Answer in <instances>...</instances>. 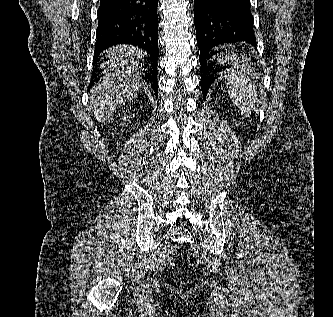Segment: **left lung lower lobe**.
Returning a JSON list of instances; mask_svg holds the SVG:
<instances>
[{
  "label": "left lung lower lobe",
  "instance_id": "obj_1",
  "mask_svg": "<svg viewBox=\"0 0 333 317\" xmlns=\"http://www.w3.org/2000/svg\"><path fill=\"white\" fill-rule=\"evenodd\" d=\"M194 23L205 99L219 72L226 68L213 48L238 41L256 46L250 0H194Z\"/></svg>",
  "mask_w": 333,
  "mask_h": 317
}]
</instances>
